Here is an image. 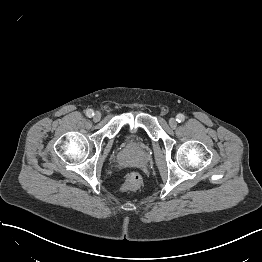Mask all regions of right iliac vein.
Here are the masks:
<instances>
[{
  "mask_svg": "<svg viewBox=\"0 0 262 262\" xmlns=\"http://www.w3.org/2000/svg\"><path fill=\"white\" fill-rule=\"evenodd\" d=\"M100 119H101V113L99 111L95 112V114L93 116V120L97 122Z\"/></svg>",
  "mask_w": 262,
  "mask_h": 262,
  "instance_id": "1",
  "label": "right iliac vein"
}]
</instances>
